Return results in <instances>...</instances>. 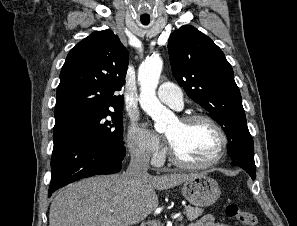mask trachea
I'll return each mask as SVG.
<instances>
[{
  "label": "trachea",
  "instance_id": "obj_1",
  "mask_svg": "<svg viewBox=\"0 0 297 226\" xmlns=\"http://www.w3.org/2000/svg\"><path fill=\"white\" fill-rule=\"evenodd\" d=\"M144 25H147L148 23H143Z\"/></svg>",
  "mask_w": 297,
  "mask_h": 226
}]
</instances>
